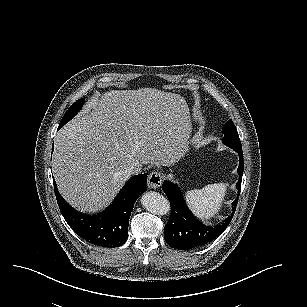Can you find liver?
I'll return each mask as SVG.
<instances>
[{
    "mask_svg": "<svg viewBox=\"0 0 307 307\" xmlns=\"http://www.w3.org/2000/svg\"><path fill=\"white\" fill-rule=\"evenodd\" d=\"M192 121L185 99L154 88L92 98L55 138L51 166L63 198L81 212L107 207L130 166H172L187 152Z\"/></svg>",
    "mask_w": 307,
    "mask_h": 307,
    "instance_id": "obj_1",
    "label": "liver"
}]
</instances>
